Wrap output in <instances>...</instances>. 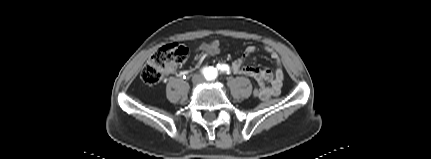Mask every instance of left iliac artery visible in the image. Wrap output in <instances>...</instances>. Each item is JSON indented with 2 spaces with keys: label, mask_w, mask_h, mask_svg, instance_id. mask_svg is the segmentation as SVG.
I'll use <instances>...</instances> for the list:
<instances>
[{
  "label": "left iliac artery",
  "mask_w": 431,
  "mask_h": 159,
  "mask_svg": "<svg viewBox=\"0 0 431 159\" xmlns=\"http://www.w3.org/2000/svg\"><path fill=\"white\" fill-rule=\"evenodd\" d=\"M217 67H218V69L217 70L215 69V71L212 74L211 79L216 78V76L218 74V70H220L221 72H227V73H229V67H228V65L223 64V65H218ZM211 79H209V80H211Z\"/></svg>",
  "instance_id": "obj_1"
}]
</instances>
